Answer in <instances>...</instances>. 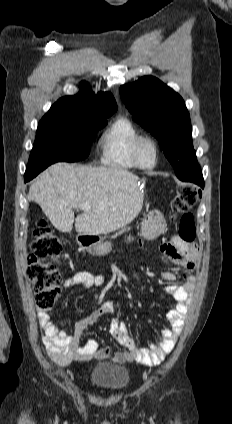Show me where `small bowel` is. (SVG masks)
<instances>
[{"label":"small bowel","instance_id":"c3829d8e","mask_svg":"<svg viewBox=\"0 0 232 424\" xmlns=\"http://www.w3.org/2000/svg\"><path fill=\"white\" fill-rule=\"evenodd\" d=\"M160 251L182 268V282L165 286V292L176 301V304L167 312L169 327L162 331L159 340L151 343L148 348H139L135 340L129 336L125 322L114 318L111 320L109 332L125 348L123 351L114 353L109 347L102 348L95 339H89L86 343L81 344V338L89 327L102 316L115 313V306L111 301H103L89 316L77 322L71 333L60 329L51 321L46 311L39 309L37 317L44 332L43 342L54 362L65 366L76 361L111 359L117 363L136 361L148 366H155L172 352L183 331L184 318L192 305L195 287L193 272L197 268L200 252L195 243L183 241L178 236H173L169 241L162 243ZM131 275L135 279H140L139 274L135 271H132ZM159 278L165 282H173L176 274L172 271H165L159 274ZM104 283L105 278L102 275H94L80 270L68 276L63 287L91 288L101 287Z\"/></svg>","mask_w":232,"mask_h":424}]
</instances>
